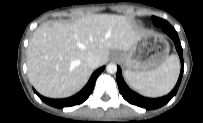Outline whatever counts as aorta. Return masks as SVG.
<instances>
[{"mask_svg":"<svg viewBox=\"0 0 203 123\" xmlns=\"http://www.w3.org/2000/svg\"><path fill=\"white\" fill-rule=\"evenodd\" d=\"M106 70L110 74H114L117 72V66L114 63H110L107 65Z\"/></svg>","mask_w":203,"mask_h":123,"instance_id":"aorta-1","label":"aorta"}]
</instances>
